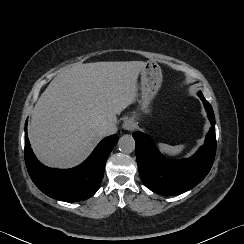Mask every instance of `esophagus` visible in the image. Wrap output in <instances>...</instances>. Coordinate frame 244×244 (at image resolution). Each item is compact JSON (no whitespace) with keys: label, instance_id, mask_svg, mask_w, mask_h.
Here are the masks:
<instances>
[{"label":"esophagus","instance_id":"34e87169","mask_svg":"<svg viewBox=\"0 0 244 244\" xmlns=\"http://www.w3.org/2000/svg\"><path fill=\"white\" fill-rule=\"evenodd\" d=\"M136 126L135 121L132 118H127L124 122H123V129L124 130H132L134 129Z\"/></svg>","mask_w":244,"mask_h":244}]
</instances>
